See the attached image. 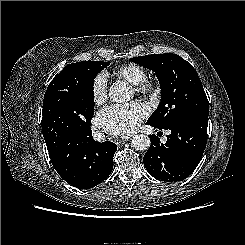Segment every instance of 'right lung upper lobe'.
I'll use <instances>...</instances> for the list:
<instances>
[{
  "instance_id": "right-lung-upper-lobe-1",
  "label": "right lung upper lobe",
  "mask_w": 245,
  "mask_h": 245,
  "mask_svg": "<svg viewBox=\"0 0 245 245\" xmlns=\"http://www.w3.org/2000/svg\"><path fill=\"white\" fill-rule=\"evenodd\" d=\"M80 92L71 64L50 82L44 95L42 130L44 139L71 131L69 122L77 115Z\"/></svg>"
}]
</instances>
